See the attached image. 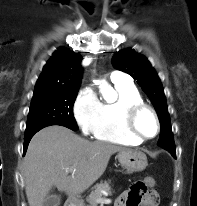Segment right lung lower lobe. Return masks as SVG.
<instances>
[{"mask_svg":"<svg viewBox=\"0 0 197 206\" xmlns=\"http://www.w3.org/2000/svg\"><path fill=\"white\" fill-rule=\"evenodd\" d=\"M34 136V134H31V135H29V136H26L25 138H24V154H25V152H26V150H27V147H28V144H29V142H30V140H31V138Z\"/></svg>","mask_w":197,"mask_h":206,"instance_id":"obj_1","label":"right lung lower lobe"}]
</instances>
